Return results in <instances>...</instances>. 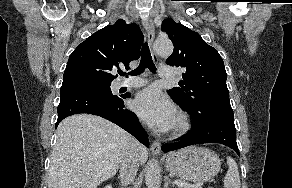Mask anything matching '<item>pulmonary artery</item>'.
Segmentation results:
<instances>
[{
    "mask_svg": "<svg viewBox=\"0 0 292 188\" xmlns=\"http://www.w3.org/2000/svg\"><path fill=\"white\" fill-rule=\"evenodd\" d=\"M159 76L163 79H173L176 76V72L172 67L163 66L159 69ZM147 80L140 77H131L126 80H122L119 83L120 87H140L147 84Z\"/></svg>",
    "mask_w": 292,
    "mask_h": 188,
    "instance_id": "obj_1",
    "label": "pulmonary artery"
}]
</instances>
